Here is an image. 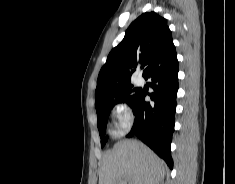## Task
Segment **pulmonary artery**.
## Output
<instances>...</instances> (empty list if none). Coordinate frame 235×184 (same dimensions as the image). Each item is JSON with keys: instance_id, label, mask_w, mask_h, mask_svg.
Returning <instances> with one entry per match:
<instances>
[{"instance_id": "pulmonary-artery-1", "label": "pulmonary artery", "mask_w": 235, "mask_h": 184, "mask_svg": "<svg viewBox=\"0 0 235 184\" xmlns=\"http://www.w3.org/2000/svg\"><path fill=\"white\" fill-rule=\"evenodd\" d=\"M144 84H145L144 79H143L141 76H139V77L136 79V85H137V86H143Z\"/></svg>"}]
</instances>
